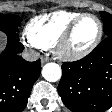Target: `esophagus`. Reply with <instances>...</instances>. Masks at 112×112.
<instances>
[{"label": "esophagus", "mask_w": 112, "mask_h": 112, "mask_svg": "<svg viewBox=\"0 0 112 112\" xmlns=\"http://www.w3.org/2000/svg\"><path fill=\"white\" fill-rule=\"evenodd\" d=\"M49 61L48 58H41V63L44 64L45 62Z\"/></svg>", "instance_id": "34e87169"}]
</instances>
